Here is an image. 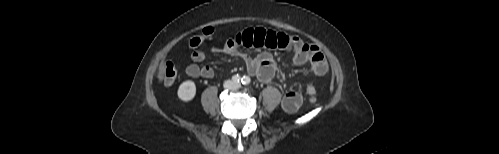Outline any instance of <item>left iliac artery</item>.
Returning a JSON list of instances; mask_svg holds the SVG:
<instances>
[{"label":"left iliac artery","mask_w":499,"mask_h":154,"mask_svg":"<svg viewBox=\"0 0 499 154\" xmlns=\"http://www.w3.org/2000/svg\"><path fill=\"white\" fill-rule=\"evenodd\" d=\"M241 82L243 85H249L251 82V79L248 76H243L241 79Z\"/></svg>","instance_id":"obj_1"}]
</instances>
